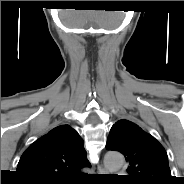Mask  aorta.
I'll use <instances>...</instances> for the list:
<instances>
[{
  "label": "aorta",
  "mask_w": 184,
  "mask_h": 184,
  "mask_svg": "<svg viewBox=\"0 0 184 184\" xmlns=\"http://www.w3.org/2000/svg\"><path fill=\"white\" fill-rule=\"evenodd\" d=\"M104 165L109 172H116L124 165V157L119 152H107L104 157Z\"/></svg>",
  "instance_id": "762f6f07"
}]
</instances>
